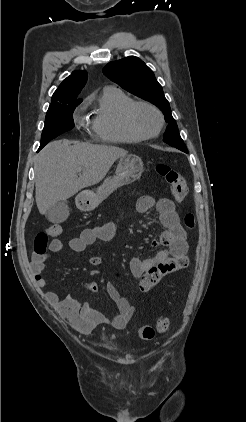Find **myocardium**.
<instances>
[{
  "label": "myocardium",
  "instance_id": "f54148a6",
  "mask_svg": "<svg viewBox=\"0 0 246 422\" xmlns=\"http://www.w3.org/2000/svg\"><path fill=\"white\" fill-rule=\"evenodd\" d=\"M139 107H147L157 114L159 118V125L154 132H143L137 126L135 122V113ZM124 121L129 131L142 140L151 139L158 136L165 125V118L162 111L156 105L147 101H134L131 103L124 111Z\"/></svg>",
  "mask_w": 246,
  "mask_h": 422
}]
</instances>
